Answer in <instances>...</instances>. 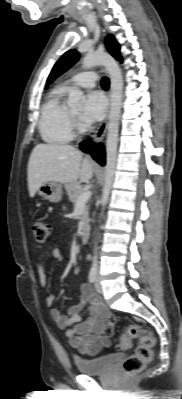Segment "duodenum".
<instances>
[{"instance_id":"410a0bca","label":"duodenum","mask_w":182,"mask_h":399,"mask_svg":"<svg viewBox=\"0 0 182 399\" xmlns=\"http://www.w3.org/2000/svg\"><path fill=\"white\" fill-rule=\"evenodd\" d=\"M81 238L83 242H87L89 239V231L87 229L82 231Z\"/></svg>"}]
</instances>
